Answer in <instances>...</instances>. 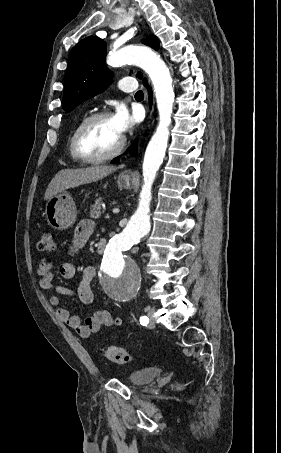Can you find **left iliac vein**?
<instances>
[{
  "instance_id": "left-iliac-vein-1",
  "label": "left iliac vein",
  "mask_w": 281,
  "mask_h": 453,
  "mask_svg": "<svg viewBox=\"0 0 281 453\" xmlns=\"http://www.w3.org/2000/svg\"><path fill=\"white\" fill-rule=\"evenodd\" d=\"M148 316L150 317V322L148 323V328H153V326L155 325V321H156V318L153 317V313H154V310H148Z\"/></svg>"
}]
</instances>
